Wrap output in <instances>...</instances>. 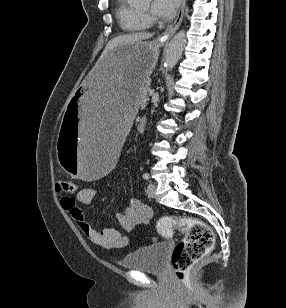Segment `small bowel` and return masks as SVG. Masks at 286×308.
<instances>
[{
    "mask_svg": "<svg viewBox=\"0 0 286 308\" xmlns=\"http://www.w3.org/2000/svg\"><path fill=\"white\" fill-rule=\"evenodd\" d=\"M96 192L93 188H82L77 191L75 198H63L62 207L68 211L81 231L96 246L111 250L128 245V238L118 229L109 228L99 230L91 225L77 204L89 205ZM152 217L151 209L136 198H131L128 205L115 214L119 227L123 231H132L138 225L147 224Z\"/></svg>",
    "mask_w": 286,
    "mask_h": 308,
    "instance_id": "obj_1",
    "label": "small bowel"
}]
</instances>
